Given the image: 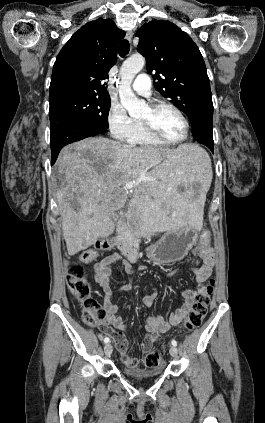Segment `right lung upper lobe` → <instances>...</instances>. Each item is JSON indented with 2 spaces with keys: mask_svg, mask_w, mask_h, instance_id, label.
Masks as SVG:
<instances>
[{
  "mask_svg": "<svg viewBox=\"0 0 265 423\" xmlns=\"http://www.w3.org/2000/svg\"><path fill=\"white\" fill-rule=\"evenodd\" d=\"M124 36L109 19L98 18L82 26L56 58L49 97L69 92L109 97L104 80L117 61L118 42Z\"/></svg>",
  "mask_w": 265,
  "mask_h": 423,
  "instance_id": "obj_1",
  "label": "right lung upper lobe"
}]
</instances>
